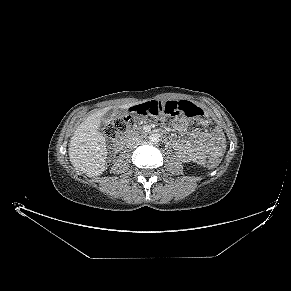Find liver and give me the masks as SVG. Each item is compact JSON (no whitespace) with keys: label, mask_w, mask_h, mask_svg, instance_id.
Segmentation results:
<instances>
[{"label":"liver","mask_w":291,"mask_h":291,"mask_svg":"<svg viewBox=\"0 0 291 291\" xmlns=\"http://www.w3.org/2000/svg\"><path fill=\"white\" fill-rule=\"evenodd\" d=\"M138 102L127 103L119 109H128ZM111 110L106 107L88 116L76 129L69 144V158L76 170L88 177H97L105 171L107 149L106 140L99 132L103 115Z\"/></svg>","instance_id":"liver-1"}]
</instances>
